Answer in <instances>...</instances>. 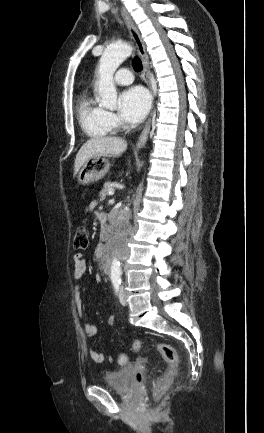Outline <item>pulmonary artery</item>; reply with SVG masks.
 <instances>
[{
    "instance_id": "1",
    "label": "pulmonary artery",
    "mask_w": 264,
    "mask_h": 433,
    "mask_svg": "<svg viewBox=\"0 0 264 433\" xmlns=\"http://www.w3.org/2000/svg\"><path fill=\"white\" fill-rule=\"evenodd\" d=\"M114 81L118 85H129L133 82V76L129 69L122 68L116 73Z\"/></svg>"
}]
</instances>
